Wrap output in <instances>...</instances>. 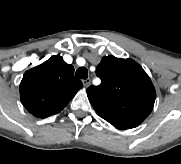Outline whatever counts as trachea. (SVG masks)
Returning <instances> with one entry per match:
<instances>
[{"instance_id": "obj_1", "label": "trachea", "mask_w": 181, "mask_h": 164, "mask_svg": "<svg viewBox=\"0 0 181 164\" xmlns=\"http://www.w3.org/2000/svg\"><path fill=\"white\" fill-rule=\"evenodd\" d=\"M75 75L81 79H87L88 70L85 67H80L77 69Z\"/></svg>"}]
</instances>
